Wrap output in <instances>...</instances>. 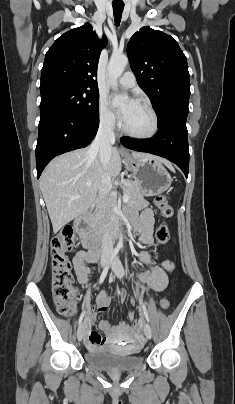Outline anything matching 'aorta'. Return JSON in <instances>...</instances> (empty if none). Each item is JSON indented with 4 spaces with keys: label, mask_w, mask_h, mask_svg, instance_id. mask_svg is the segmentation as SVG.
I'll return each instance as SVG.
<instances>
[{
    "label": "aorta",
    "mask_w": 235,
    "mask_h": 404,
    "mask_svg": "<svg viewBox=\"0 0 235 404\" xmlns=\"http://www.w3.org/2000/svg\"><path fill=\"white\" fill-rule=\"evenodd\" d=\"M128 63V58L124 54H113L110 58L107 72H108V84L113 88L117 89V80L122 75L126 65ZM128 101V96H116L114 102L116 104H122ZM123 237L120 234L119 244H122Z\"/></svg>",
    "instance_id": "obj_1"
}]
</instances>
